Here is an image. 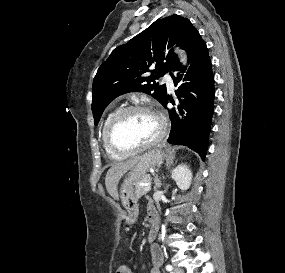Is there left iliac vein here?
Here are the masks:
<instances>
[{
    "mask_svg": "<svg viewBox=\"0 0 285 273\" xmlns=\"http://www.w3.org/2000/svg\"><path fill=\"white\" fill-rule=\"evenodd\" d=\"M172 273H184V270L180 267H175Z\"/></svg>",
    "mask_w": 285,
    "mask_h": 273,
    "instance_id": "obj_1",
    "label": "left iliac vein"
}]
</instances>
